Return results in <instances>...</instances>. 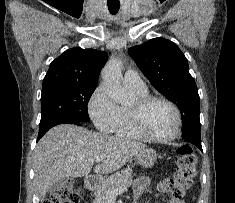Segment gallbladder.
I'll return each mask as SVG.
<instances>
[{
	"label": "gallbladder",
	"mask_w": 235,
	"mask_h": 203,
	"mask_svg": "<svg viewBox=\"0 0 235 203\" xmlns=\"http://www.w3.org/2000/svg\"><path fill=\"white\" fill-rule=\"evenodd\" d=\"M64 181L63 180H57V182L50 188V191H53L57 188H59L60 185H63Z\"/></svg>",
	"instance_id": "gallbladder-1"
}]
</instances>
